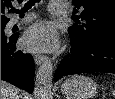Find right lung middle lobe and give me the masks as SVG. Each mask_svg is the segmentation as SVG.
Returning a JSON list of instances; mask_svg holds the SVG:
<instances>
[{"label":"right lung middle lobe","mask_w":115,"mask_h":99,"mask_svg":"<svg viewBox=\"0 0 115 99\" xmlns=\"http://www.w3.org/2000/svg\"><path fill=\"white\" fill-rule=\"evenodd\" d=\"M5 26H6V23H1V35H4Z\"/></svg>","instance_id":"obj_1"}]
</instances>
